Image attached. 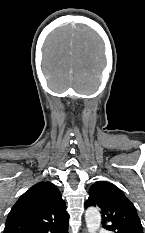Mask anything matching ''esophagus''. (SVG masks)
<instances>
[{"label":"esophagus","mask_w":145,"mask_h":233,"mask_svg":"<svg viewBox=\"0 0 145 233\" xmlns=\"http://www.w3.org/2000/svg\"><path fill=\"white\" fill-rule=\"evenodd\" d=\"M82 233H87V232H86V230H83V232H82Z\"/></svg>","instance_id":"obj_1"}]
</instances>
